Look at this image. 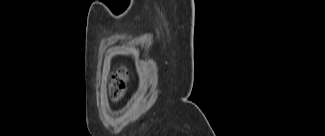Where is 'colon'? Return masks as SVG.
I'll return each mask as SVG.
<instances>
[{
  "mask_svg": "<svg viewBox=\"0 0 325 136\" xmlns=\"http://www.w3.org/2000/svg\"><path fill=\"white\" fill-rule=\"evenodd\" d=\"M126 71L124 69L118 70L111 75L109 79V91L113 98L118 101L124 94L126 88Z\"/></svg>",
  "mask_w": 325,
  "mask_h": 136,
  "instance_id": "5ec220e1",
  "label": "colon"
}]
</instances>
